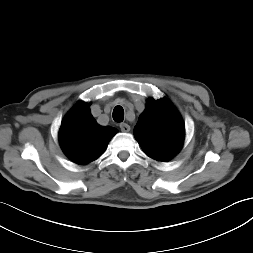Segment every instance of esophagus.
<instances>
[{"label":"esophagus","mask_w":253,"mask_h":253,"mask_svg":"<svg viewBox=\"0 0 253 253\" xmlns=\"http://www.w3.org/2000/svg\"><path fill=\"white\" fill-rule=\"evenodd\" d=\"M120 129L122 132H129L130 131V126L126 123H121L120 124Z\"/></svg>","instance_id":"obj_1"}]
</instances>
